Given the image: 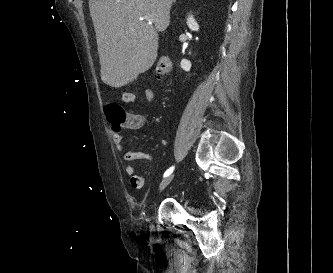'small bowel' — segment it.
<instances>
[{
    "label": "small bowel",
    "instance_id": "c3829d8e",
    "mask_svg": "<svg viewBox=\"0 0 333 273\" xmlns=\"http://www.w3.org/2000/svg\"><path fill=\"white\" fill-rule=\"evenodd\" d=\"M153 93L152 91H145L143 97L138 95L134 92H125L122 95V102L123 103H134L138 101H146L151 102L153 100ZM132 122L126 125L129 129H140L145 125V119L142 116V112H136V115H133ZM111 134L114 144L116 145L117 149L123 152V158L127 162H134V161H152L151 154L144 152V151H124L123 146V139L121 132L116 128H111ZM125 172L131 178V184L136 189H141L144 186L143 179L135 174V167L132 164H128L125 166Z\"/></svg>",
    "mask_w": 333,
    "mask_h": 273
}]
</instances>
